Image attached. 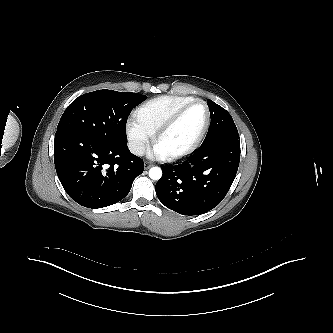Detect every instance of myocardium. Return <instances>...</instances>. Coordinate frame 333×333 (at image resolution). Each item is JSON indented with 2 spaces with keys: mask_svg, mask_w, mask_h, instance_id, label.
Listing matches in <instances>:
<instances>
[{
  "mask_svg": "<svg viewBox=\"0 0 333 333\" xmlns=\"http://www.w3.org/2000/svg\"><path fill=\"white\" fill-rule=\"evenodd\" d=\"M201 103L204 105L206 109V120L205 123L198 134V136L195 138V140L185 149L174 152V153H169V154H161L162 157L167 160V161H175L182 159L190 154H192L197 148L201 145L202 141L204 140L210 124H211V110L210 107L208 106L207 102L202 100V99H193L190 102L182 105L180 108H178L155 132L154 135V148L157 149V145L161 138L171 129L175 126V124L179 121V119L182 117V115L194 104Z\"/></svg>",
  "mask_w": 333,
  "mask_h": 333,
  "instance_id": "myocardium-1",
  "label": "myocardium"
}]
</instances>
